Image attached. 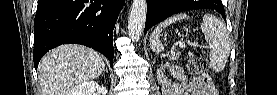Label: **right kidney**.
<instances>
[{"label":"right kidney","instance_id":"1","mask_svg":"<svg viewBox=\"0 0 277 95\" xmlns=\"http://www.w3.org/2000/svg\"><path fill=\"white\" fill-rule=\"evenodd\" d=\"M99 94L105 95L107 90L95 81H87L77 85L70 93V95H92L95 91Z\"/></svg>","mask_w":277,"mask_h":95}]
</instances>
